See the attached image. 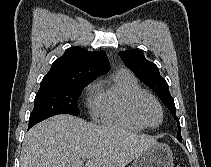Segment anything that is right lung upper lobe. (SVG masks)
Here are the masks:
<instances>
[{"mask_svg":"<svg viewBox=\"0 0 211 167\" xmlns=\"http://www.w3.org/2000/svg\"><path fill=\"white\" fill-rule=\"evenodd\" d=\"M109 70L110 64L104 51L90 52L74 46L66 49L53 62L40 85H66L81 80H94Z\"/></svg>","mask_w":211,"mask_h":167,"instance_id":"obj_1","label":"right lung upper lobe"}]
</instances>
